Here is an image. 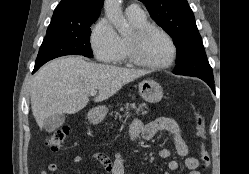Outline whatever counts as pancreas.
<instances>
[{
  "mask_svg": "<svg viewBox=\"0 0 249 174\" xmlns=\"http://www.w3.org/2000/svg\"><path fill=\"white\" fill-rule=\"evenodd\" d=\"M144 107H145L144 104H140V105L136 106L135 103H131V104L127 103L126 105H124V107L120 108V111L125 110V115L130 116V112H129L130 109L135 110L136 113H138L139 111H142V113H145V112H143ZM114 114H115V117H120V114L117 111ZM111 115H113V113H111Z\"/></svg>",
  "mask_w": 249,
  "mask_h": 174,
  "instance_id": "pancreas-1",
  "label": "pancreas"
}]
</instances>
